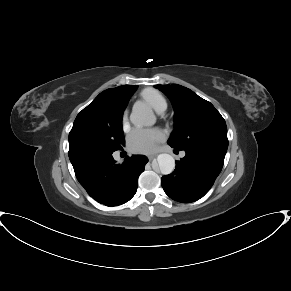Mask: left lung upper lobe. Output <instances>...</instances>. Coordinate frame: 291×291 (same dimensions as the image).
<instances>
[{"mask_svg":"<svg viewBox=\"0 0 291 291\" xmlns=\"http://www.w3.org/2000/svg\"><path fill=\"white\" fill-rule=\"evenodd\" d=\"M155 87L168 96L174 108L175 129L168 140L171 147H228L225 120L210 102L181 85Z\"/></svg>","mask_w":291,"mask_h":291,"instance_id":"left-lung-upper-lobe-1","label":"left lung upper lobe"}]
</instances>
